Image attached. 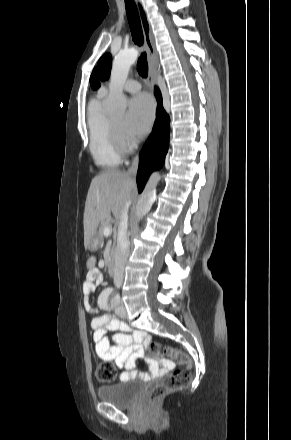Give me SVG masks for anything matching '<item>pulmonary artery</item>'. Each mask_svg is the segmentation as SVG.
Masks as SVG:
<instances>
[{
	"instance_id": "pulmonary-artery-1",
	"label": "pulmonary artery",
	"mask_w": 291,
	"mask_h": 440,
	"mask_svg": "<svg viewBox=\"0 0 291 440\" xmlns=\"http://www.w3.org/2000/svg\"><path fill=\"white\" fill-rule=\"evenodd\" d=\"M124 90L127 92H137L140 90L141 88V84L140 82L134 80V79H129L125 82L124 86H123ZM99 92L102 95H105L107 93V89L105 86H102L99 90Z\"/></svg>"
}]
</instances>
